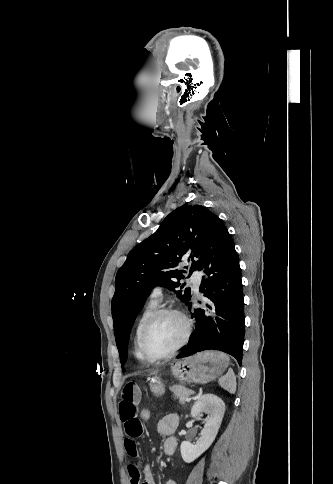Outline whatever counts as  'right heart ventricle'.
<instances>
[{"label": "right heart ventricle", "instance_id": "obj_1", "mask_svg": "<svg viewBox=\"0 0 333 484\" xmlns=\"http://www.w3.org/2000/svg\"><path fill=\"white\" fill-rule=\"evenodd\" d=\"M158 303L155 301L150 300L146 306L144 307L137 323L135 326L134 330V336H133V349L135 356L137 357L138 360H140L142 363H149L142 355L140 351V336L141 332L143 329V326L145 325L146 321L148 318L157 310Z\"/></svg>", "mask_w": 333, "mask_h": 484}]
</instances>
